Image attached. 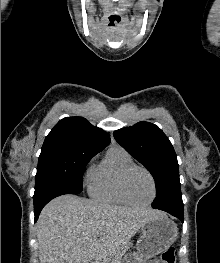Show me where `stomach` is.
<instances>
[{"mask_svg":"<svg viewBox=\"0 0 220 263\" xmlns=\"http://www.w3.org/2000/svg\"><path fill=\"white\" fill-rule=\"evenodd\" d=\"M177 235V224L161 214L141 227L137 251L126 254L121 263H147L150 258L169 248Z\"/></svg>","mask_w":220,"mask_h":263,"instance_id":"1","label":"stomach"}]
</instances>
